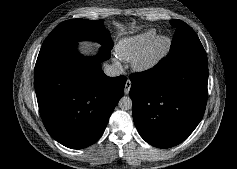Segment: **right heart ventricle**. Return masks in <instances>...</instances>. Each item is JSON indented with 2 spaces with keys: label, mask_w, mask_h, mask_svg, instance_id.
I'll use <instances>...</instances> for the list:
<instances>
[{
  "label": "right heart ventricle",
  "mask_w": 237,
  "mask_h": 169,
  "mask_svg": "<svg viewBox=\"0 0 237 169\" xmlns=\"http://www.w3.org/2000/svg\"><path fill=\"white\" fill-rule=\"evenodd\" d=\"M158 36L156 29H148L134 36L122 39L116 46L118 56L133 61Z\"/></svg>",
  "instance_id": "1"
}]
</instances>
